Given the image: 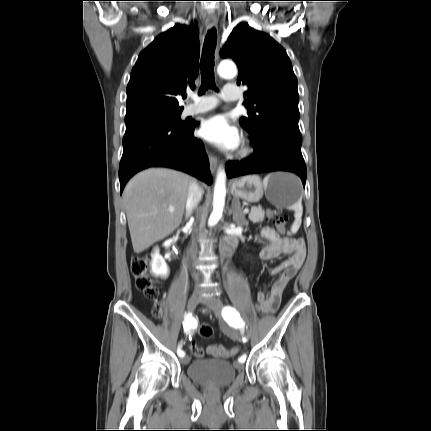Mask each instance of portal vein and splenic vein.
<instances>
[{"instance_id": "18ae733b", "label": "portal vein and splenic vein", "mask_w": 431, "mask_h": 431, "mask_svg": "<svg viewBox=\"0 0 431 431\" xmlns=\"http://www.w3.org/2000/svg\"><path fill=\"white\" fill-rule=\"evenodd\" d=\"M169 212L173 213L174 209L173 208H169ZM248 212H249L248 208L244 209V211H243L244 214H247Z\"/></svg>"}]
</instances>
